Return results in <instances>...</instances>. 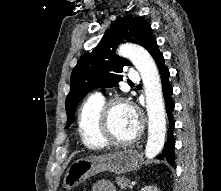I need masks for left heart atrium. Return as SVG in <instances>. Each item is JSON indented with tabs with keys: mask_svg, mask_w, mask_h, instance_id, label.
Segmentation results:
<instances>
[{
	"mask_svg": "<svg viewBox=\"0 0 221 191\" xmlns=\"http://www.w3.org/2000/svg\"><path fill=\"white\" fill-rule=\"evenodd\" d=\"M129 108V107H128ZM129 117L131 119V121L134 123V124H137L138 123V118H137V114L136 112L132 109V108H129ZM138 125V124H137Z\"/></svg>",
	"mask_w": 221,
	"mask_h": 191,
	"instance_id": "1",
	"label": "left heart atrium"
}]
</instances>
